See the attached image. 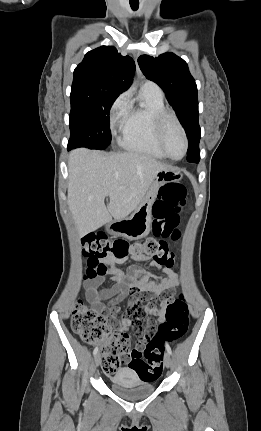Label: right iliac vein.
Returning a JSON list of instances; mask_svg holds the SVG:
<instances>
[{"instance_id": "1", "label": "right iliac vein", "mask_w": 261, "mask_h": 431, "mask_svg": "<svg viewBox=\"0 0 261 431\" xmlns=\"http://www.w3.org/2000/svg\"><path fill=\"white\" fill-rule=\"evenodd\" d=\"M100 363H101V356H100V353H98L95 356V365H96V367H98L100 365Z\"/></svg>"}]
</instances>
